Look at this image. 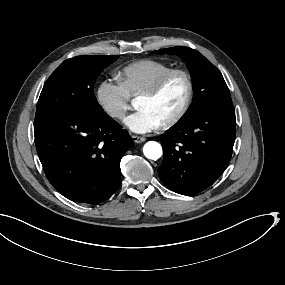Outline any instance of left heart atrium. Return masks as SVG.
Segmentation results:
<instances>
[{"instance_id": "obj_1", "label": "left heart atrium", "mask_w": 285, "mask_h": 285, "mask_svg": "<svg viewBox=\"0 0 285 285\" xmlns=\"http://www.w3.org/2000/svg\"><path fill=\"white\" fill-rule=\"evenodd\" d=\"M160 123L156 115L145 104L136 106L134 113L124 120V125L137 133H146L155 129Z\"/></svg>"}]
</instances>
